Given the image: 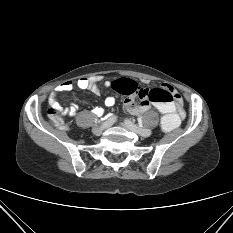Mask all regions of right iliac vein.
<instances>
[{
    "instance_id": "obj_1",
    "label": "right iliac vein",
    "mask_w": 233,
    "mask_h": 233,
    "mask_svg": "<svg viewBox=\"0 0 233 233\" xmlns=\"http://www.w3.org/2000/svg\"><path fill=\"white\" fill-rule=\"evenodd\" d=\"M106 126L101 127V126H96L93 128L92 132L96 135L99 136L101 135V133L103 132V130L105 129Z\"/></svg>"
}]
</instances>
